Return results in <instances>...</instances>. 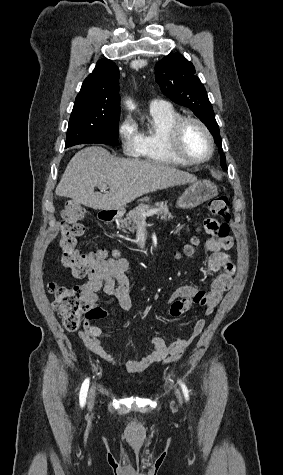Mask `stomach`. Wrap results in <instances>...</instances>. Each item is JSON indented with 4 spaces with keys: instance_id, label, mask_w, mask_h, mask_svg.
I'll use <instances>...</instances> for the list:
<instances>
[{
    "instance_id": "1",
    "label": "stomach",
    "mask_w": 283,
    "mask_h": 475,
    "mask_svg": "<svg viewBox=\"0 0 283 475\" xmlns=\"http://www.w3.org/2000/svg\"><path fill=\"white\" fill-rule=\"evenodd\" d=\"M215 196H218L217 186L210 182V180H200V182L191 184L183 192L182 196L177 200V206L178 208H196L199 204H203V202H207V200H211ZM124 214L125 210L121 208V210H118L115 218L120 220Z\"/></svg>"
}]
</instances>
